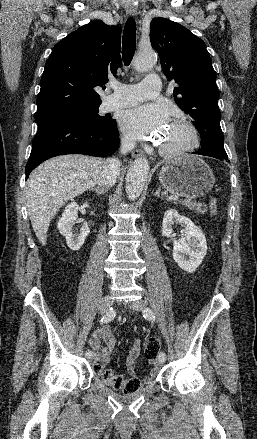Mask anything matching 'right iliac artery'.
Here are the masks:
<instances>
[{"label": "right iliac artery", "mask_w": 257, "mask_h": 439, "mask_svg": "<svg viewBox=\"0 0 257 439\" xmlns=\"http://www.w3.org/2000/svg\"><path fill=\"white\" fill-rule=\"evenodd\" d=\"M114 317H115L114 312H113L112 310H110L109 312H107V313L101 318V320H100V324L107 323V322L113 320ZM85 356H86L87 358H92V357H93V353H92V351L88 349V350L85 352Z\"/></svg>", "instance_id": "82829eb1"}]
</instances>
